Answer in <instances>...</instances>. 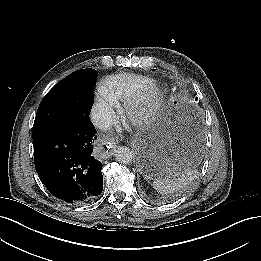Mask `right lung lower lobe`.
<instances>
[{
	"instance_id": "right-lung-lower-lobe-1",
	"label": "right lung lower lobe",
	"mask_w": 261,
	"mask_h": 261,
	"mask_svg": "<svg viewBox=\"0 0 261 261\" xmlns=\"http://www.w3.org/2000/svg\"><path fill=\"white\" fill-rule=\"evenodd\" d=\"M34 163L48 191L68 203L102 193V164L93 156L96 130L89 116L34 130Z\"/></svg>"
}]
</instances>
